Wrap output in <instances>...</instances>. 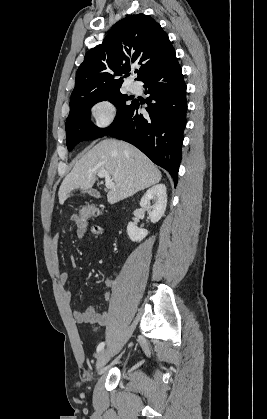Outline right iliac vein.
Segmentation results:
<instances>
[{"instance_id":"63e3f726","label":"right iliac vein","mask_w":267,"mask_h":419,"mask_svg":"<svg viewBox=\"0 0 267 419\" xmlns=\"http://www.w3.org/2000/svg\"><path fill=\"white\" fill-rule=\"evenodd\" d=\"M111 357V350L110 349H104L102 350L97 357L96 362V370L101 369L110 359Z\"/></svg>"}]
</instances>
